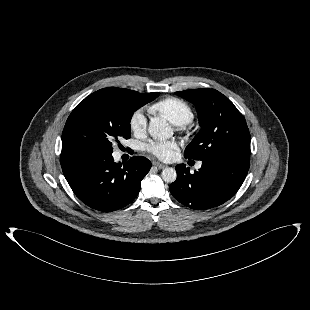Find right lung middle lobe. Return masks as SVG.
<instances>
[{
    "label": "right lung middle lobe",
    "instance_id": "right-lung-middle-lobe-1",
    "mask_svg": "<svg viewBox=\"0 0 310 310\" xmlns=\"http://www.w3.org/2000/svg\"><path fill=\"white\" fill-rule=\"evenodd\" d=\"M159 93L135 98L106 88L81 101L68 117L62 133V151L74 149H105L120 138H130L133 113L151 102ZM120 145V144H119Z\"/></svg>",
    "mask_w": 310,
    "mask_h": 310
}]
</instances>
